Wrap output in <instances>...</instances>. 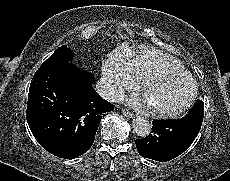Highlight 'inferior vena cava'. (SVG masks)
<instances>
[{"label":"inferior vena cava","mask_w":230,"mask_h":181,"mask_svg":"<svg viewBox=\"0 0 230 181\" xmlns=\"http://www.w3.org/2000/svg\"><path fill=\"white\" fill-rule=\"evenodd\" d=\"M96 91L101 97L110 102H118L124 95L123 89L107 78H101L97 81Z\"/></svg>","instance_id":"602c4592"}]
</instances>
